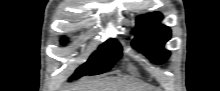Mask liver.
<instances>
[{"mask_svg": "<svg viewBox=\"0 0 220 91\" xmlns=\"http://www.w3.org/2000/svg\"><path fill=\"white\" fill-rule=\"evenodd\" d=\"M73 91H149V89L124 78L106 77L86 81Z\"/></svg>", "mask_w": 220, "mask_h": 91, "instance_id": "obj_1", "label": "liver"}]
</instances>
